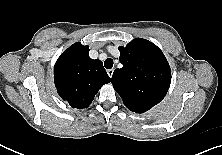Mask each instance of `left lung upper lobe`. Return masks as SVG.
Instances as JSON below:
<instances>
[{
  "mask_svg": "<svg viewBox=\"0 0 222 155\" xmlns=\"http://www.w3.org/2000/svg\"><path fill=\"white\" fill-rule=\"evenodd\" d=\"M119 51L123 67L114 71L113 87L129 110L146 112L165 97L171 82L170 66L162 51L142 38Z\"/></svg>",
  "mask_w": 222,
  "mask_h": 155,
  "instance_id": "5c2ea615",
  "label": "left lung upper lobe"
}]
</instances>
